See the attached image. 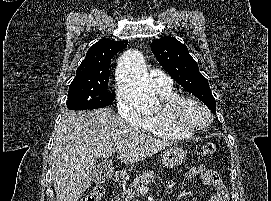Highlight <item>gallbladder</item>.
I'll use <instances>...</instances> for the list:
<instances>
[{
	"label": "gallbladder",
	"mask_w": 271,
	"mask_h": 201,
	"mask_svg": "<svg viewBox=\"0 0 271 201\" xmlns=\"http://www.w3.org/2000/svg\"><path fill=\"white\" fill-rule=\"evenodd\" d=\"M89 173L92 177L93 182L95 183L105 182L109 180L113 175L112 163L108 161L97 163L90 168Z\"/></svg>",
	"instance_id": "bac80fb5"
}]
</instances>
